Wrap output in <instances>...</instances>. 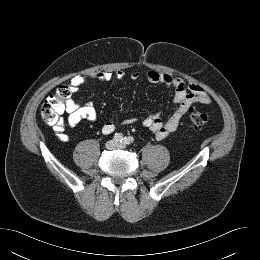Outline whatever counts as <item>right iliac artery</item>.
I'll return each instance as SVG.
<instances>
[{
	"instance_id": "obj_1",
	"label": "right iliac artery",
	"mask_w": 260,
	"mask_h": 260,
	"mask_svg": "<svg viewBox=\"0 0 260 260\" xmlns=\"http://www.w3.org/2000/svg\"><path fill=\"white\" fill-rule=\"evenodd\" d=\"M114 140L118 143H122L124 140V137L121 133H116L114 136Z\"/></svg>"
}]
</instances>
